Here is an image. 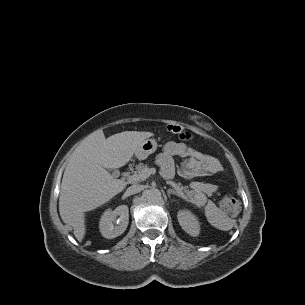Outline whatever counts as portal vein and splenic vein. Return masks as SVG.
<instances>
[{"instance_id":"18ae733b","label":"portal vein and splenic vein","mask_w":305,"mask_h":305,"mask_svg":"<svg viewBox=\"0 0 305 305\" xmlns=\"http://www.w3.org/2000/svg\"><path fill=\"white\" fill-rule=\"evenodd\" d=\"M155 171L154 168H146L137 175H131L130 179L136 181L146 180L151 174L155 173Z\"/></svg>"}]
</instances>
